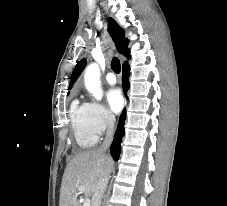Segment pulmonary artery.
<instances>
[{
	"label": "pulmonary artery",
	"mask_w": 227,
	"mask_h": 206,
	"mask_svg": "<svg viewBox=\"0 0 227 206\" xmlns=\"http://www.w3.org/2000/svg\"><path fill=\"white\" fill-rule=\"evenodd\" d=\"M106 81L110 84V85H114L117 82L116 76L113 72H109L106 75Z\"/></svg>",
	"instance_id": "obj_1"
}]
</instances>
